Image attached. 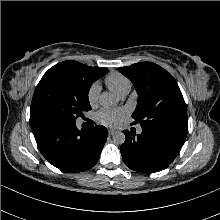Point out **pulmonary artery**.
Returning a JSON list of instances; mask_svg holds the SVG:
<instances>
[{
  "label": "pulmonary artery",
  "instance_id": "1",
  "mask_svg": "<svg viewBox=\"0 0 220 220\" xmlns=\"http://www.w3.org/2000/svg\"><path fill=\"white\" fill-rule=\"evenodd\" d=\"M128 92H123L122 94H120V97H124V96H126V94H127ZM138 134H141L142 133V129L140 128V129H138Z\"/></svg>",
  "mask_w": 220,
  "mask_h": 220
}]
</instances>
